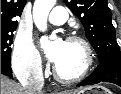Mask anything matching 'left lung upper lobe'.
Segmentation results:
<instances>
[{
  "label": "left lung upper lobe",
  "mask_w": 121,
  "mask_h": 94,
  "mask_svg": "<svg viewBox=\"0 0 121 94\" xmlns=\"http://www.w3.org/2000/svg\"><path fill=\"white\" fill-rule=\"evenodd\" d=\"M81 20L85 34L95 49L100 63L121 61V51L112 25L107 0H63Z\"/></svg>",
  "instance_id": "5c2ea615"
}]
</instances>
